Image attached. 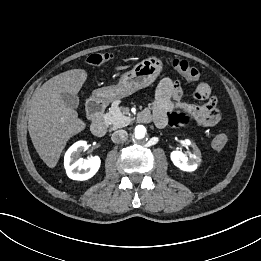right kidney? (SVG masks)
Here are the masks:
<instances>
[{
	"mask_svg": "<svg viewBox=\"0 0 261 261\" xmlns=\"http://www.w3.org/2000/svg\"><path fill=\"white\" fill-rule=\"evenodd\" d=\"M86 141L74 143L65 153L64 167L67 176L73 180L84 181L92 178L100 168L101 160L98 156L88 159H77L83 149H87Z\"/></svg>",
	"mask_w": 261,
	"mask_h": 261,
	"instance_id": "right-kidney-1",
	"label": "right kidney"
}]
</instances>
